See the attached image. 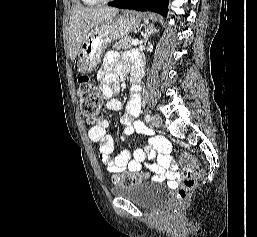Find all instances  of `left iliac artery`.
I'll use <instances>...</instances> for the list:
<instances>
[{
	"label": "left iliac artery",
	"mask_w": 257,
	"mask_h": 237,
	"mask_svg": "<svg viewBox=\"0 0 257 237\" xmlns=\"http://www.w3.org/2000/svg\"><path fill=\"white\" fill-rule=\"evenodd\" d=\"M151 120V117L149 114L145 115V121L148 123Z\"/></svg>",
	"instance_id": "left-iliac-artery-1"
}]
</instances>
